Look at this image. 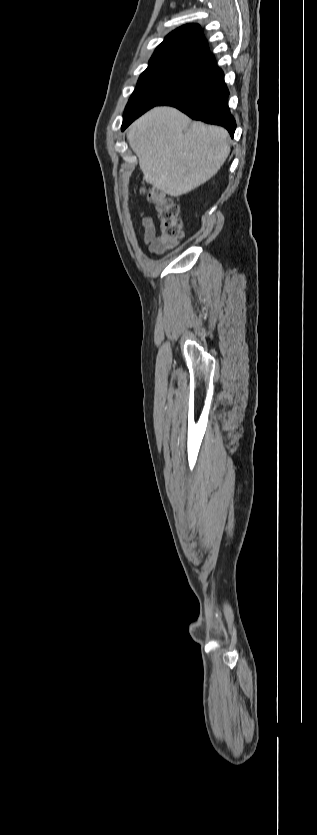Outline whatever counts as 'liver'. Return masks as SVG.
Masks as SVG:
<instances>
[{
    "label": "liver",
    "mask_w": 317,
    "mask_h": 835,
    "mask_svg": "<svg viewBox=\"0 0 317 835\" xmlns=\"http://www.w3.org/2000/svg\"><path fill=\"white\" fill-rule=\"evenodd\" d=\"M147 183L172 197L210 180L230 153L229 134L219 126L191 123L175 108L155 107L128 129Z\"/></svg>",
    "instance_id": "1"
}]
</instances>
